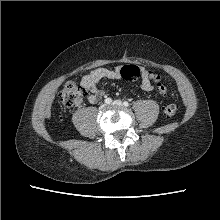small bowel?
Masks as SVG:
<instances>
[{
  "label": "small bowel",
  "instance_id": "small-bowel-1",
  "mask_svg": "<svg viewBox=\"0 0 220 220\" xmlns=\"http://www.w3.org/2000/svg\"><path fill=\"white\" fill-rule=\"evenodd\" d=\"M120 78V68L114 69L100 67L91 71L81 80L82 88L88 93V101L91 104H95L105 94L104 90L98 87V83L102 79L116 80ZM140 87L144 91H151L154 89V85L150 81L148 71L145 69L141 70Z\"/></svg>",
  "mask_w": 220,
  "mask_h": 220
}]
</instances>
